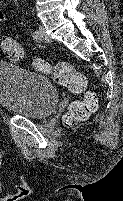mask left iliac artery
<instances>
[{"label":"left iliac artery","instance_id":"obj_1","mask_svg":"<svg viewBox=\"0 0 123 201\" xmlns=\"http://www.w3.org/2000/svg\"><path fill=\"white\" fill-rule=\"evenodd\" d=\"M32 37L37 40V38H38V31H36V30L33 31L32 32Z\"/></svg>","mask_w":123,"mask_h":201}]
</instances>
